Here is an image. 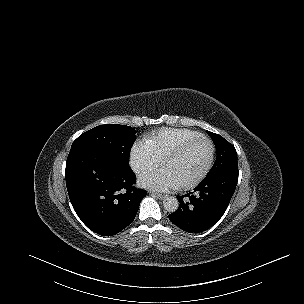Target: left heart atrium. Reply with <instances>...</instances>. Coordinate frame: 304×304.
<instances>
[{"label":"left heart atrium","instance_id":"39dd6f15","mask_svg":"<svg viewBox=\"0 0 304 304\" xmlns=\"http://www.w3.org/2000/svg\"><path fill=\"white\" fill-rule=\"evenodd\" d=\"M142 184L153 190L170 191L177 189L178 182L163 170H154L145 173L141 177Z\"/></svg>","mask_w":304,"mask_h":304}]
</instances>
